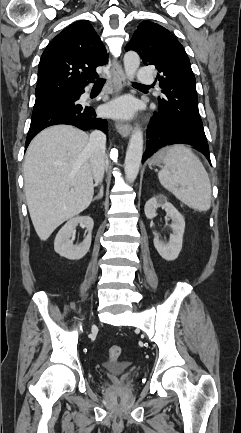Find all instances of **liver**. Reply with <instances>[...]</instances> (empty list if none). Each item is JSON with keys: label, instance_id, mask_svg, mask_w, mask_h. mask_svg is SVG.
<instances>
[{"label": "liver", "instance_id": "liver-1", "mask_svg": "<svg viewBox=\"0 0 241 433\" xmlns=\"http://www.w3.org/2000/svg\"><path fill=\"white\" fill-rule=\"evenodd\" d=\"M89 136L69 125L41 131L24 160V190L30 217L46 241L64 221L84 211L94 194Z\"/></svg>", "mask_w": 241, "mask_h": 433}]
</instances>
